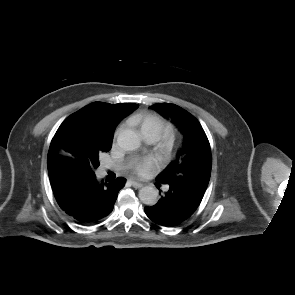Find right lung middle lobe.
<instances>
[{"mask_svg":"<svg viewBox=\"0 0 295 295\" xmlns=\"http://www.w3.org/2000/svg\"><path fill=\"white\" fill-rule=\"evenodd\" d=\"M111 146L112 140H109L104 144L100 143L92 145L88 153V160H86L82 167L78 169L84 173L94 172L100 165L99 154L102 152H108L111 149Z\"/></svg>","mask_w":295,"mask_h":295,"instance_id":"1","label":"right lung middle lobe"}]
</instances>
